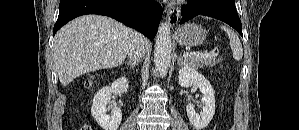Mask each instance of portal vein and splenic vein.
<instances>
[{
    "label": "portal vein and splenic vein",
    "mask_w": 299,
    "mask_h": 130,
    "mask_svg": "<svg viewBox=\"0 0 299 130\" xmlns=\"http://www.w3.org/2000/svg\"><path fill=\"white\" fill-rule=\"evenodd\" d=\"M216 53L214 50L210 51L209 53H203V52H184L183 56L188 57V56H195V57H208V56H215Z\"/></svg>",
    "instance_id": "18ae733b"
}]
</instances>
